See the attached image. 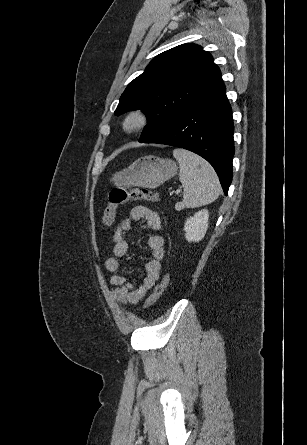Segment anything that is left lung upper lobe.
Returning a JSON list of instances; mask_svg holds the SVG:
<instances>
[{"label": "left lung upper lobe", "mask_w": 307, "mask_h": 445, "mask_svg": "<svg viewBox=\"0 0 307 445\" xmlns=\"http://www.w3.org/2000/svg\"><path fill=\"white\" fill-rule=\"evenodd\" d=\"M222 83L212 56L196 44H183L156 56L129 83L115 115L142 109L148 119L139 140L143 142Z\"/></svg>", "instance_id": "1"}]
</instances>
